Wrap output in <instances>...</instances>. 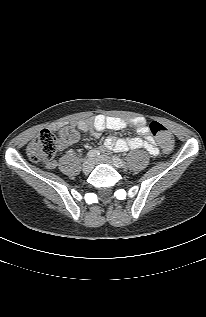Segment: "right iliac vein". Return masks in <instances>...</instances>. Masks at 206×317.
<instances>
[{
	"label": "right iliac vein",
	"mask_w": 206,
	"mask_h": 317,
	"mask_svg": "<svg viewBox=\"0 0 206 317\" xmlns=\"http://www.w3.org/2000/svg\"><path fill=\"white\" fill-rule=\"evenodd\" d=\"M93 161L91 159H86L83 162L82 170L84 173H89L93 169Z\"/></svg>",
	"instance_id": "1"
}]
</instances>
